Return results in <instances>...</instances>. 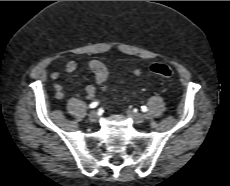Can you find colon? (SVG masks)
Listing matches in <instances>:
<instances>
[{
    "label": "colon",
    "mask_w": 230,
    "mask_h": 186,
    "mask_svg": "<svg viewBox=\"0 0 230 186\" xmlns=\"http://www.w3.org/2000/svg\"><path fill=\"white\" fill-rule=\"evenodd\" d=\"M149 69L152 73L165 78H170L173 76L172 68L163 63H153L150 65Z\"/></svg>",
    "instance_id": "5ec220e1"
}]
</instances>
